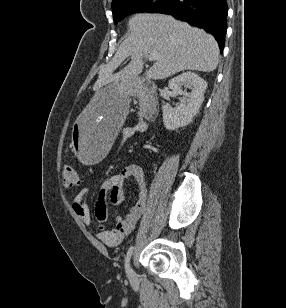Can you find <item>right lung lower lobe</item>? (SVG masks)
<instances>
[{
	"label": "right lung lower lobe",
	"mask_w": 286,
	"mask_h": 308,
	"mask_svg": "<svg viewBox=\"0 0 286 308\" xmlns=\"http://www.w3.org/2000/svg\"><path fill=\"white\" fill-rule=\"evenodd\" d=\"M156 13L169 14L192 26L206 29L224 48L228 7L226 0H167Z\"/></svg>",
	"instance_id": "right-lung-lower-lobe-1"
}]
</instances>
